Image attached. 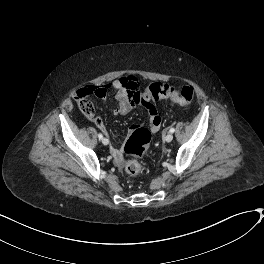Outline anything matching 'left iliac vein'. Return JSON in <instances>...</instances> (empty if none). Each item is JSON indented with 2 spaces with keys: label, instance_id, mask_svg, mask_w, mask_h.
I'll list each match as a JSON object with an SVG mask.
<instances>
[{
  "label": "left iliac vein",
  "instance_id": "4c4485c4",
  "mask_svg": "<svg viewBox=\"0 0 264 264\" xmlns=\"http://www.w3.org/2000/svg\"><path fill=\"white\" fill-rule=\"evenodd\" d=\"M173 140V135L171 133H168L166 136H165V141L166 142H171Z\"/></svg>",
  "mask_w": 264,
  "mask_h": 264
}]
</instances>
